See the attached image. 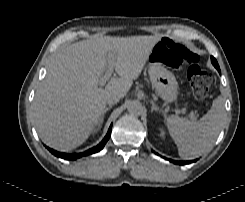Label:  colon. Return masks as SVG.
I'll list each match as a JSON object with an SVG mask.
<instances>
[{
    "label": "colon",
    "instance_id": "colon-1",
    "mask_svg": "<svg viewBox=\"0 0 245 202\" xmlns=\"http://www.w3.org/2000/svg\"><path fill=\"white\" fill-rule=\"evenodd\" d=\"M159 49L164 59L183 72L194 96L199 99L205 97L211 84V78L199 66V56L169 37L161 38Z\"/></svg>",
    "mask_w": 245,
    "mask_h": 202
}]
</instances>
